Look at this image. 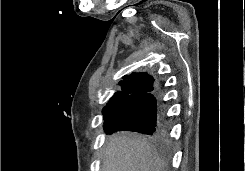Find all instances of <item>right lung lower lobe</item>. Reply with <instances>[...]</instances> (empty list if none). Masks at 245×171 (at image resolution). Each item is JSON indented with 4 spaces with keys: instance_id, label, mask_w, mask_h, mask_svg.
Masks as SVG:
<instances>
[{
    "instance_id": "1",
    "label": "right lung lower lobe",
    "mask_w": 245,
    "mask_h": 171,
    "mask_svg": "<svg viewBox=\"0 0 245 171\" xmlns=\"http://www.w3.org/2000/svg\"><path fill=\"white\" fill-rule=\"evenodd\" d=\"M160 95L161 91L157 89L152 93L121 101L105 117V132L128 130L164 139L167 118Z\"/></svg>"
}]
</instances>
